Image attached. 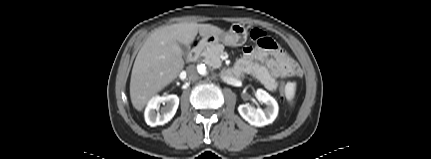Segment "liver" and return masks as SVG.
Segmentation results:
<instances>
[{"label": "liver", "mask_w": 431, "mask_h": 159, "mask_svg": "<svg viewBox=\"0 0 431 159\" xmlns=\"http://www.w3.org/2000/svg\"><path fill=\"white\" fill-rule=\"evenodd\" d=\"M221 32V28L211 24L179 23L151 33L132 68L130 98L133 107L142 111L152 97L178 77L184 68L179 43L189 46L198 33L205 40Z\"/></svg>", "instance_id": "6515ba94"}]
</instances>
